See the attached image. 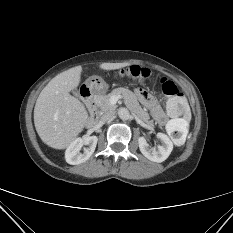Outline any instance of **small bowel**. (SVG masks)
<instances>
[{"label": "small bowel", "instance_id": "c3829d8e", "mask_svg": "<svg viewBox=\"0 0 233 233\" xmlns=\"http://www.w3.org/2000/svg\"><path fill=\"white\" fill-rule=\"evenodd\" d=\"M137 95L143 104H145L146 106L152 109L153 116L160 123H165L166 115L163 109L156 103L154 98L143 89H138Z\"/></svg>", "mask_w": 233, "mask_h": 233}]
</instances>
